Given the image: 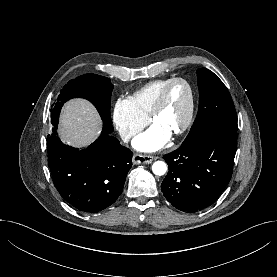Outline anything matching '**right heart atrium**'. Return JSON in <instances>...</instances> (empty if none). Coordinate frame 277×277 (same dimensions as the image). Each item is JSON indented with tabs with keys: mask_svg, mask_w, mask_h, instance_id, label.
<instances>
[{
	"mask_svg": "<svg viewBox=\"0 0 277 277\" xmlns=\"http://www.w3.org/2000/svg\"><path fill=\"white\" fill-rule=\"evenodd\" d=\"M113 122L123 141L135 137L149 122L131 97H120L114 107Z\"/></svg>",
	"mask_w": 277,
	"mask_h": 277,
	"instance_id": "obj_1",
	"label": "right heart atrium"
}]
</instances>
